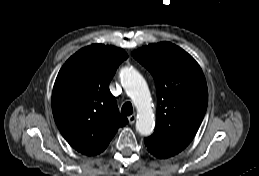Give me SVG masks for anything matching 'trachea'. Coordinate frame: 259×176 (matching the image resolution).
I'll return each mask as SVG.
<instances>
[{
  "mask_svg": "<svg viewBox=\"0 0 259 176\" xmlns=\"http://www.w3.org/2000/svg\"><path fill=\"white\" fill-rule=\"evenodd\" d=\"M121 113L124 115H131L133 113V106L130 102H126L121 109Z\"/></svg>",
  "mask_w": 259,
  "mask_h": 176,
  "instance_id": "obj_1",
  "label": "trachea"
}]
</instances>
